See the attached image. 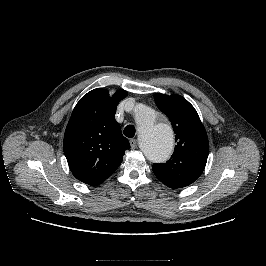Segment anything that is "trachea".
Masks as SVG:
<instances>
[{
	"label": "trachea",
	"mask_w": 266,
	"mask_h": 266,
	"mask_svg": "<svg viewBox=\"0 0 266 266\" xmlns=\"http://www.w3.org/2000/svg\"><path fill=\"white\" fill-rule=\"evenodd\" d=\"M135 127L133 125H127L123 131L124 135L128 138H132L135 135Z\"/></svg>",
	"instance_id": "1"
}]
</instances>
